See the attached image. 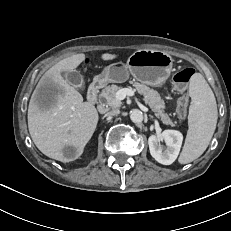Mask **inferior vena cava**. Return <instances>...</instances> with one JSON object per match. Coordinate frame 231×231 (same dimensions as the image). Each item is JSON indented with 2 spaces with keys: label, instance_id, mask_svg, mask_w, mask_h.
<instances>
[{
  "label": "inferior vena cava",
  "instance_id": "1",
  "mask_svg": "<svg viewBox=\"0 0 231 231\" xmlns=\"http://www.w3.org/2000/svg\"><path fill=\"white\" fill-rule=\"evenodd\" d=\"M118 113H119V110L113 109V110L107 112L105 115H106V116H109V117H112V116L117 115Z\"/></svg>",
  "mask_w": 231,
  "mask_h": 231
}]
</instances>
